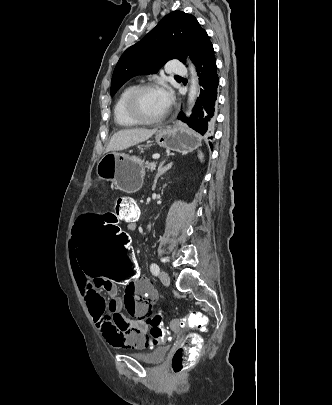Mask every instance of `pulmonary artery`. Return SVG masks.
<instances>
[{
	"mask_svg": "<svg viewBox=\"0 0 332 405\" xmlns=\"http://www.w3.org/2000/svg\"><path fill=\"white\" fill-rule=\"evenodd\" d=\"M167 68L169 73L175 75H184L186 73V68L178 60L169 61Z\"/></svg>",
	"mask_w": 332,
	"mask_h": 405,
	"instance_id": "obj_1",
	"label": "pulmonary artery"
}]
</instances>
